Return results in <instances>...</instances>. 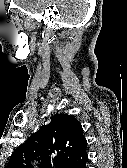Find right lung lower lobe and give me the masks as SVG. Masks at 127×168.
Here are the masks:
<instances>
[{
  "label": "right lung lower lobe",
  "instance_id": "right-lung-lower-lobe-1",
  "mask_svg": "<svg viewBox=\"0 0 127 168\" xmlns=\"http://www.w3.org/2000/svg\"><path fill=\"white\" fill-rule=\"evenodd\" d=\"M87 160H88V157L83 162H81L78 166H76V168H86Z\"/></svg>",
  "mask_w": 127,
  "mask_h": 168
}]
</instances>
